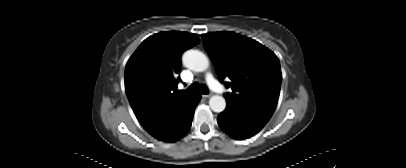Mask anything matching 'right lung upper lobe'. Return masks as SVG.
<instances>
[{
    "label": "right lung upper lobe",
    "mask_w": 406,
    "mask_h": 168,
    "mask_svg": "<svg viewBox=\"0 0 406 168\" xmlns=\"http://www.w3.org/2000/svg\"><path fill=\"white\" fill-rule=\"evenodd\" d=\"M196 34L161 32L142 42L125 68V91L140 124L162 135L196 94L177 90L182 53L199 43Z\"/></svg>",
    "instance_id": "cb5924a9"
}]
</instances>
